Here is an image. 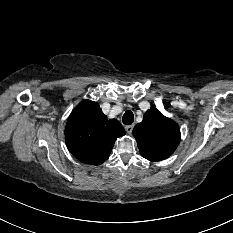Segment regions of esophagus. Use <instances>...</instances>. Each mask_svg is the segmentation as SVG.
<instances>
[{
	"mask_svg": "<svg viewBox=\"0 0 233 233\" xmlns=\"http://www.w3.org/2000/svg\"><path fill=\"white\" fill-rule=\"evenodd\" d=\"M133 127H134V125H127V126L125 127L126 132H127L128 134H131V133H132V130H133Z\"/></svg>",
	"mask_w": 233,
	"mask_h": 233,
	"instance_id": "obj_1",
	"label": "esophagus"
}]
</instances>
